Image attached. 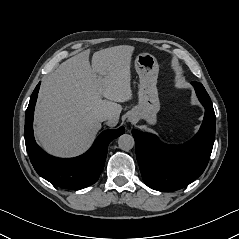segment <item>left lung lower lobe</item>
I'll list each match as a JSON object with an SVG mask.
<instances>
[{
	"label": "left lung lower lobe",
	"instance_id": "obj_1",
	"mask_svg": "<svg viewBox=\"0 0 239 239\" xmlns=\"http://www.w3.org/2000/svg\"><path fill=\"white\" fill-rule=\"evenodd\" d=\"M205 107L199 132L183 145H166L152 134L132 130L136 157L145 184L163 192L186 187L205 170L215 139L216 117L211 99L202 84L191 82Z\"/></svg>",
	"mask_w": 239,
	"mask_h": 239
}]
</instances>
